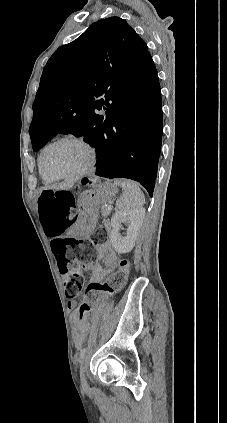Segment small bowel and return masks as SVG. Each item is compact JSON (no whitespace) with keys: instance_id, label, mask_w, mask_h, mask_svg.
<instances>
[{"instance_id":"small-bowel-1","label":"small bowel","mask_w":227,"mask_h":423,"mask_svg":"<svg viewBox=\"0 0 227 423\" xmlns=\"http://www.w3.org/2000/svg\"><path fill=\"white\" fill-rule=\"evenodd\" d=\"M57 237H51V246L53 251V244L57 240ZM100 260L104 263L105 267L101 266L99 263L90 265L91 270V283H100L103 278L113 272L118 264V259L115 253L112 251L109 243H103L98 247ZM76 306L74 300L68 301V308L73 309ZM97 313H95L91 319L86 316H81L78 312H74L71 316V323L75 330V342L80 346L85 338L87 337L91 324L97 319Z\"/></svg>"}]
</instances>
